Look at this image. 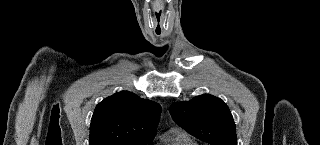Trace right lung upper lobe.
Segmentation results:
<instances>
[{"instance_id": "obj_1", "label": "right lung upper lobe", "mask_w": 320, "mask_h": 145, "mask_svg": "<svg viewBox=\"0 0 320 145\" xmlns=\"http://www.w3.org/2000/svg\"><path fill=\"white\" fill-rule=\"evenodd\" d=\"M161 106L121 91L102 102L91 120L90 145H146L155 136Z\"/></svg>"}]
</instances>
